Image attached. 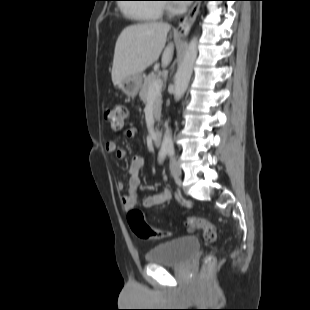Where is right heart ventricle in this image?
I'll return each instance as SVG.
<instances>
[{"instance_id": "right-heart-ventricle-1", "label": "right heart ventricle", "mask_w": 310, "mask_h": 310, "mask_svg": "<svg viewBox=\"0 0 310 310\" xmlns=\"http://www.w3.org/2000/svg\"><path fill=\"white\" fill-rule=\"evenodd\" d=\"M150 1V0H140ZM124 12L140 22H151L157 20L161 16L160 5L145 4V5H131L124 7Z\"/></svg>"}]
</instances>
